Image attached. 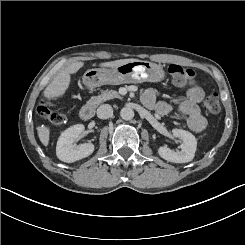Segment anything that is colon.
Masks as SVG:
<instances>
[{
  "mask_svg": "<svg viewBox=\"0 0 245 245\" xmlns=\"http://www.w3.org/2000/svg\"><path fill=\"white\" fill-rule=\"evenodd\" d=\"M168 71L176 83L188 81L195 76L194 70L185 68L181 65L172 64ZM203 106L207 112L216 114L220 111V102L216 94H211L204 98ZM37 113L55 126H59L65 122V116L53 108V103L49 99L42 100L38 107Z\"/></svg>",
  "mask_w": 245,
  "mask_h": 245,
  "instance_id": "colon-1",
  "label": "colon"
}]
</instances>
